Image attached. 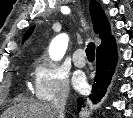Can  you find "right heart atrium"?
<instances>
[{"label": "right heart atrium", "mask_w": 133, "mask_h": 118, "mask_svg": "<svg viewBox=\"0 0 133 118\" xmlns=\"http://www.w3.org/2000/svg\"><path fill=\"white\" fill-rule=\"evenodd\" d=\"M32 89L40 102L66 98L70 93L68 74L55 62L39 59L34 65Z\"/></svg>", "instance_id": "right-heart-atrium-1"}]
</instances>
